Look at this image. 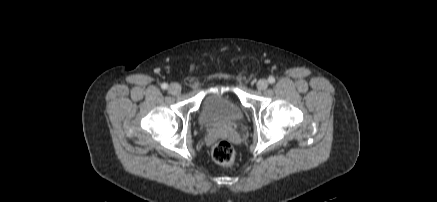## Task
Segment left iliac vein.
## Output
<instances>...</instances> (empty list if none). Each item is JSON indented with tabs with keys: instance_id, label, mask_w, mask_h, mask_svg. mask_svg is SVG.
<instances>
[{
	"instance_id": "1",
	"label": "left iliac vein",
	"mask_w": 437,
	"mask_h": 202,
	"mask_svg": "<svg viewBox=\"0 0 437 202\" xmlns=\"http://www.w3.org/2000/svg\"><path fill=\"white\" fill-rule=\"evenodd\" d=\"M268 81L266 80V79H260L258 82H257V88H258V90H260V91H263V90H265V89H267V87H268Z\"/></svg>"
}]
</instances>
